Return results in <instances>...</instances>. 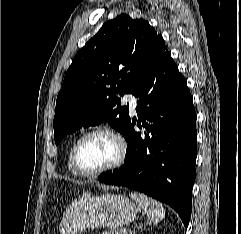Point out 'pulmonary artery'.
Segmentation results:
<instances>
[{
    "label": "pulmonary artery",
    "instance_id": "obj_1",
    "mask_svg": "<svg viewBox=\"0 0 241 234\" xmlns=\"http://www.w3.org/2000/svg\"><path fill=\"white\" fill-rule=\"evenodd\" d=\"M123 99L126 103H128L130 110L134 112L137 108L136 98L132 94H126Z\"/></svg>",
    "mask_w": 241,
    "mask_h": 234
}]
</instances>
